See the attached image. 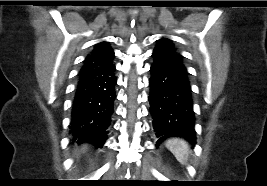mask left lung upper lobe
Wrapping results in <instances>:
<instances>
[{
  "mask_svg": "<svg viewBox=\"0 0 267 186\" xmlns=\"http://www.w3.org/2000/svg\"><path fill=\"white\" fill-rule=\"evenodd\" d=\"M153 54L161 56L166 61L176 64L181 67H185L183 63V57L175 48L174 44L170 39L163 38L158 41L157 46L153 50Z\"/></svg>",
  "mask_w": 267,
  "mask_h": 186,
  "instance_id": "left-lung-upper-lobe-1",
  "label": "left lung upper lobe"
}]
</instances>
